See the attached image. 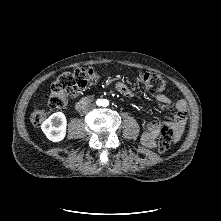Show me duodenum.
Segmentation results:
<instances>
[{"label": "duodenum", "instance_id": "1", "mask_svg": "<svg viewBox=\"0 0 221 221\" xmlns=\"http://www.w3.org/2000/svg\"><path fill=\"white\" fill-rule=\"evenodd\" d=\"M95 96L94 95H87L83 98H81L75 106V109L77 111H82L84 108H86L93 100Z\"/></svg>", "mask_w": 221, "mask_h": 221}]
</instances>
